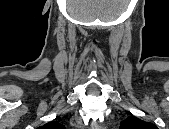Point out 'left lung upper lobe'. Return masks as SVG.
Masks as SVG:
<instances>
[{
    "label": "left lung upper lobe",
    "mask_w": 169,
    "mask_h": 129,
    "mask_svg": "<svg viewBox=\"0 0 169 129\" xmlns=\"http://www.w3.org/2000/svg\"><path fill=\"white\" fill-rule=\"evenodd\" d=\"M120 129H157V127L137 117L129 116L126 120L121 122Z\"/></svg>",
    "instance_id": "1"
}]
</instances>
